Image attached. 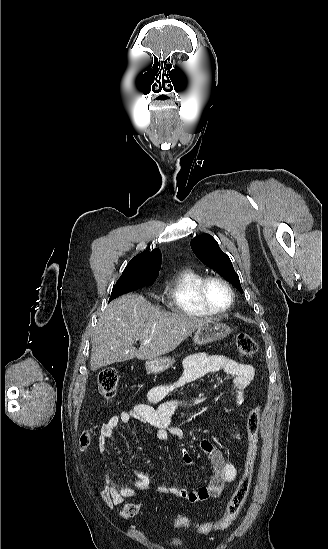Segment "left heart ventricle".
<instances>
[{"label":"left heart ventricle","mask_w":328,"mask_h":549,"mask_svg":"<svg viewBox=\"0 0 328 549\" xmlns=\"http://www.w3.org/2000/svg\"><path fill=\"white\" fill-rule=\"evenodd\" d=\"M209 307L214 310H223L230 302L228 289L220 283H212L207 291Z\"/></svg>","instance_id":"1"}]
</instances>
